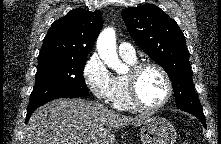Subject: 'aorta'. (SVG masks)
<instances>
[{
	"instance_id": "aorta-1",
	"label": "aorta",
	"mask_w": 221,
	"mask_h": 144,
	"mask_svg": "<svg viewBox=\"0 0 221 144\" xmlns=\"http://www.w3.org/2000/svg\"><path fill=\"white\" fill-rule=\"evenodd\" d=\"M96 44L100 58L109 68L119 74L127 71V66L120 61L116 51V35L113 28H105L100 33Z\"/></svg>"
}]
</instances>
